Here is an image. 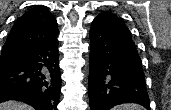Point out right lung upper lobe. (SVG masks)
Wrapping results in <instances>:
<instances>
[{"instance_id": "obj_1", "label": "right lung upper lobe", "mask_w": 171, "mask_h": 110, "mask_svg": "<svg viewBox=\"0 0 171 110\" xmlns=\"http://www.w3.org/2000/svg\"><path fill=\"white\" fill-rule=\"evenodd\" d=\"M59 33L56 19L46 7L36 6L18 17L2 48L1 56L23 54Z\"/></svg>"}]
</instances>
